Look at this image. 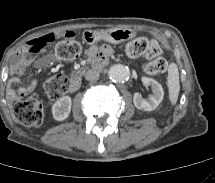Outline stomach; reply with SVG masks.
<instances>
[{"label":"stomach","instance_id":"0dacf381","mask_svg":"<svg viewBox=\"0 0 215 183\" xmlns=\"http://www.w3.org/2000/svg\"><path fill=\"white\" fill-rule=\"evenodd\" d=\"M135 36L136 32L132 29L112 28L94 31L90 41L95 43L99 40H105L112 44H120L134 38Z\"/></svg>","mask_w":215,"mask_h":183}]
</instances>
